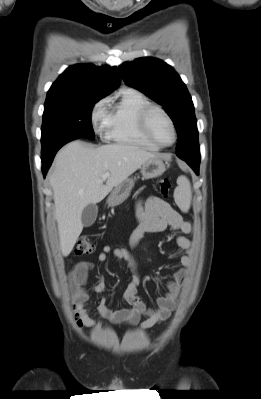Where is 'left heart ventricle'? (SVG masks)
<instances>
[{"label":"left heart ventricle","instance_id":"obj_1","mask_svg":"<svg viewBox=\"0 0 261 399\" xmlns=\"http://www.w3.org/2000/svg\"><path fill=\"white\" fill-rule=\"evenodd\" d=\"M149 127L153 137L163 144H169L173 140V131L165 116L154 111L149 117Z\"/></svg>","mask_w":261,"mask_h":399}]
</instances>
